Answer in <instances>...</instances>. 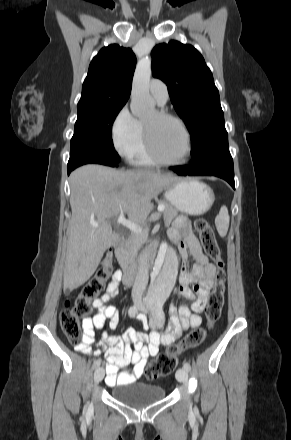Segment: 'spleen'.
<instances>
[{
    "label": "spleen",
    "mask_w": 291,
    "mask_h": 440,
    "mask_svg": "<svg viewBox=\"0 0 291 440\" xmlns=\"http://www.w3.org/2000/svg\"><path fill=\"white\" fill-rule=\"evenodd\" d=\"M229 213L228 209L225 205L220 208L219 214L215 218V225L217 231L221 237H225L227 235V231L229 228Z\"/></svg>",
    "instance_id": "obj_1"
}]
</instances>
